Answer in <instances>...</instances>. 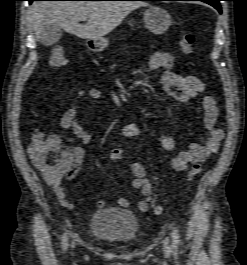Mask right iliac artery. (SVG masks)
<instances>
[{
    "label": "right iliac artery",
    "mask_w": 247,
    "mask_h": 265,
    "mask_svg": "<svg viewBox=\"0 0 247 265\" xmlns=\"http://www.w3.org/2000/svg\"><path fill=\"white\" fill-rule=\"evenodd\" d=\"M67 246H68V238H67V235L64 234L63 239H62V247H63V250H66L67 249Z\"/></svg>",
    "instance_id": "right-iliac-artery-1"
}]
</instances>
